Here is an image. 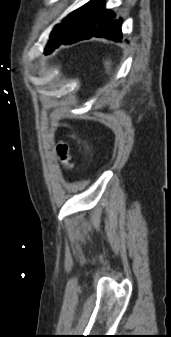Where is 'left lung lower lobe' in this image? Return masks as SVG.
Returning <instances> with one entry per match:
<instances>
[{
  "instance_id": "obj_1",
  "label": "left lung lower lobe",
  "mask_w": 171,
  "mask_h": 337,
  "mask_svg": "<svg viewBox=\"0 0 171 337\" xmlns=\"http://www.w3.org/2000/svg\"><path fill=\"white\" fill-rule=\"evenodd\" d=\"M115 18L116 14L105 8L104 0L90 1L84 5L83 13L74 29L56 45V48L61 44H72L93 36L121 41L122 19Z\"/></svg>"
}]
</instances>
